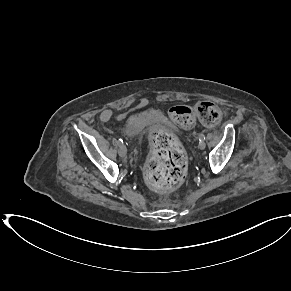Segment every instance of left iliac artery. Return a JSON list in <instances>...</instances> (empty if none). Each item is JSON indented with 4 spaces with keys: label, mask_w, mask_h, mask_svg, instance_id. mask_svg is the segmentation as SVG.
I'll return each mask as SVG.
<instances>
[{
    "label": "left iliac artery",
    "mask_w": 291,
    "mask_h": 291,
    "mask_svg": "<svg viewBox=\"0 0 291 291\" xmlns=\"http://www.w3.org/2000/svg\"><path fill=\"white\" fill-rule=\"evenodd\" d=\"M199 139H200V141L205 140V135H204V134H201V135L199 136Z\"/></svg>",
    "instance_id": "44dca946"
}]
</instances>
